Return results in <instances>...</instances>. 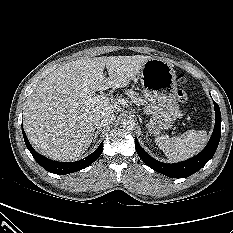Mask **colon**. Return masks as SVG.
Segmentation results:
<instances>
[{
	"label": "colon",
	"instance_id": "1",
	"mask_svg": "<svg viewBox=\"0 0 233 233\" xmlns=\"http://www.w3.org/2000/svg\"><path fill=\"white\" fill-rule=\"evenodd\" d=\"M178 81L180 84V89L177 92V97L180 102L184 103L189 98L188 92L186 91L187 79L183 74H180L178 76Z\"/></svg>",
	"mask_w": 233,
	"mask_h": 233
}]
</instances>
